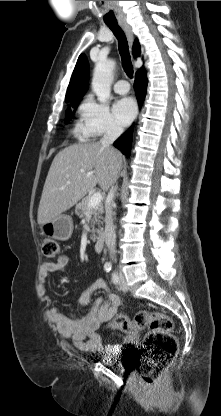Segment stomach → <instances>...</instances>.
<instances>
[{
  "mask_svg": "<svg viewBox=\"0 0 221 416\" xmlns=\"http://www.w3.org/2000/svg\"><path fill=\"white\" fill-rule=\"evenodd\" d=\"M41 235L59 241H67L73 233V221L68 215H59L40 226Z\"/></svg>",
  "mask_w": 221,
  "mask_h": 416,
  "instance_id": "stomach-1",
  "label": "stomach"
}]
</instances>
